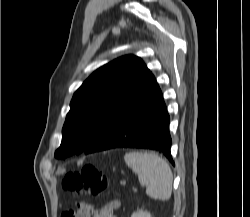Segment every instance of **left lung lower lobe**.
<instances>
[{"label": "left lung lower lobe", "mask_w": 250, "mask_h": 217, "mask_svg": "<svg viewBox=\"0 0 250 217\" xmlns=\"http://www.w3.org/2000/svg\"><path fill=\"white\" fill-rule=\"evenodd\" d=\"M122 147L157 150L174 165L170 153L169 115L152 73L137 86L108 127L84 153Z\"/></svg>", "instance_id": "1"}]
</instances>
